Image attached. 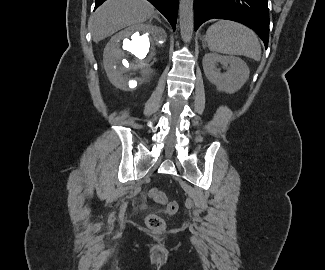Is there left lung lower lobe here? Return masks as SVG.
<instances>
[{
  "mask_svg": "<svg viewBox=\"0 0 325 270\" xmlns=\"http://www.w3.org/2000/svg\"><path fill=\"white\" fill-rule=\"evenodd\" d=\"M227 19L252 28L268 47L269 12L267 0H194L195 31L207 20Z\"/></svg>",
  "mask_w": 325,
  "mask_h": 270,
  "instance_id": "obj_1",
  "label": "left lung lower lobe"
}]
</instances>
